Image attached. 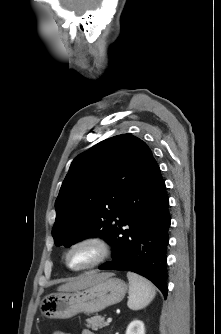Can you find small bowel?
Segmentation results:
<instances>
[{
  "mask_svg": "<svg viewBox=\"0 0 221 334\" xmlns=\"http://www.w3.org/2000/svg\"><path fill=\"white\" fill-rule=\"evenodd\" d=\"M53 334H69L63 331H55ZM81 334H94L92 331L88 330V329H84Z\"/></svg>",
  "mask_w": 221,
  "mask_h": 334,
  "instance_id": "small-bowel-1",
  "label": "small bowel"
}]
</instances>
